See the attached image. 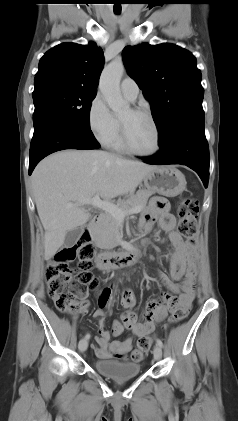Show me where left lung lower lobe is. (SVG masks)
<instances>
[{
    "instance_id": "left-lung-lower-lobe-1",
    "label": "left lung lower lobe",
    "mask_w": 238,
    "mask_h": 421,
    "mask_svg": "<svg viewBox=\"0 0 238 421\" xmlns=\"http://www.w3.org/2000/svg\"><path fill=\"white\" fill-rule=\"evenodd\" d=\"M152 157H141L148 164H183L193 169L205 187L209 179V147L205 137L204 117L181 123L163 142Z\"/></svg>"
}]
</instances>
